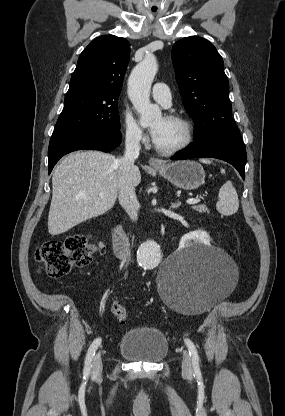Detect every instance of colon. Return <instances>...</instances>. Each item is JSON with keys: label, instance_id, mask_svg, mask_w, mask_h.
Instances as JSON below:
<instances>
[{"label": "colon", "instance_id": "colon-1", "mask_svg": "<svg viewBox=\"0 0 285 416\" xmlns=\"http://www.w3.org/2000/svg\"><path fill=\"white\" fill-rule=\"evenodd\" d=\"M86 235H72L61 241H48L36 248L35 257L40 264L41 271L52 278L65 276L73 267L88 265L97 250ZM113 315L121 322L126 319L123 304L114 301L111 306Z\"/></svg>", "mask_w": 285, "mask_h": 416}]
</instances>
